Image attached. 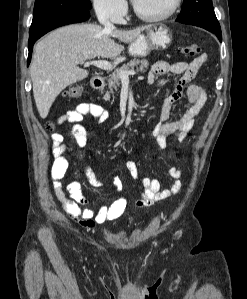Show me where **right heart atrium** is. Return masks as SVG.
Instances as JSON below:
<instances>
[{
	"mask_svg": "<svg viewBox=\"0 0 247 299\" xmlns=\"http://www.w3.org/2000/svg\"><path fill=\"white\" fill-rule=\"evenodd\" d=\"M97 16L103 20L119 21L127 8L125 0H91Z\"/></svg>",
	"mask_w": 247,
	"mask_h": 299,
	"instance_id": "obj_1",
	"label": "right heart atrium"
}]
</instances>
